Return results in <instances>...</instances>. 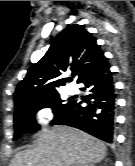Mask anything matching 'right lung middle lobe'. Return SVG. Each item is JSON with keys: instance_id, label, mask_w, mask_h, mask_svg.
<instances>
[{"instance_id": "dd1d6c3e", "label": "right lung middle lobe", "mask_w": 135, "mask_h": 166, "mask_svg": "<svg viewBox=\"0 0 135 166\" xmlns=\"http://www.w3.org/2000/svg\"><path fill=\"white\" fill-rule=\"evenodd\" d=\"M73 98H69V102L65 103L56 94L45 100L25 105L15 110L14 115V140H17L24 133H33L39 129V125L35 120V114L42 108H52L55 118L60 116L71 105Z\"/></svg>"}]
</instances>
